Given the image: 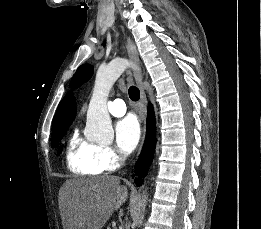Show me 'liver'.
<instances>
[{
	"label": "liver",
	"instance_id": "1",
	"mask_svg": "<svg viewBox=\"0 0 261 229\" xmlns=\"http://www.w3.org/2000/svg\"><path fill=\"white\" fill-rule=\"evenodd\" d=\"M66 229H103L113 211L128 199L118 177L71 179L64 185Z\"/></svg>",
	"mask_w": 261,
	"mask_h": 229
}]
</instances>
